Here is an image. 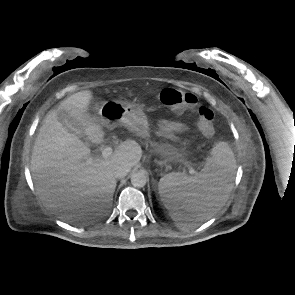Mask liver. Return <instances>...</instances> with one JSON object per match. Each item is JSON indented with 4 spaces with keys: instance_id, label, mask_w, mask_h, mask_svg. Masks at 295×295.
Returning <instances> with one entry per match:
<instances>
[{
    "instance_id": "obj_1",
    "label": "liver",
    "mask_w": 295,
    "mask_h": 295,
    "mask_svg": "<svg viewBox=\"0 0 295 295\" xmlns=\"http://www.w3.org/2000/svg\"><path fill=\"white\" fill-rule=\"evenodd\" d=\"M92 98L90 90L80 91L50 111L32 150L36 192L43 204L65 221L84 219L108 209L117 185L115 168L127 165L131 169L142 157L140 145L126 140L109 158H92L89 147L62 126L59 112L83 126L92 143H101L105 134L88 113Z\"/></svg>"
}]
</instances>
